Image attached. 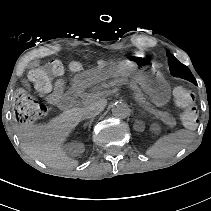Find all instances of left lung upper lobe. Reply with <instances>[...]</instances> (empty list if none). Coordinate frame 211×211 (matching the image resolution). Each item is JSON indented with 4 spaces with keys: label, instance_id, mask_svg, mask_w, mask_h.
Listing matches in <instances>:
<instances>
[{
    "label": "left lung upper lobe",
    "instance_id": "1",
    "mask_svg": "<svg viewBox=\"0 0 211 211\" xmlns=\"http://www.w3.org/2000/svg\"><path fill=\"white\" fill-rule=\"evenodd\" d=\"M167 56L169 68L173 76L180 77L194 84H197L193 74L187 66L180 63L171 53L167 52Z\"/></svg>",
    "mask_w": 211,
    "mask_h": 211
}]
</instances>
